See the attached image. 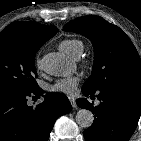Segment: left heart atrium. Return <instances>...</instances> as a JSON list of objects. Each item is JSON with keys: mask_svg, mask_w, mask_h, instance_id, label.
Returning a JSON list of instances; mask_svg holds the SVG:
<instances>
[{"mask_svg": "<svg viewBox=\"0 0 141 141\" xmlns=\"http://www.w3.org/2000/svg\"><path fill=\"white\" fill-rule=\"evenodd\" d=\"M79 83L77 76H70L57 81L52 86V91L72 95L75 92L76 86Z\"/></svg>", "mask_w": 141, "mask_h": 141, "instance_id": "left-heart-atrium-1", "label": "left heart atrium"}]
</instances>
